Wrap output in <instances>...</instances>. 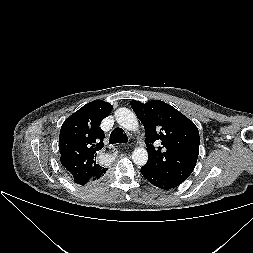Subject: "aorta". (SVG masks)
<instances>
[{
  "instance_id": "762f6f07",
  "label": "aorta",
  "mask_w": 253,
  "mask_h": 253,
  "mask_svg": "<svg viewBox=\"0 0 253 253\" xmlns=\"http://www.w3.org/2000/svg\"><path fill=\"white\" fill-rule=\"evenodd\" d=\"M115 119L117 123L124 129L129 131H137L139 123L136 115L128 108L122 107L115 111ZM132 160L138 166L147 163L148 153L145 148L138 147L132 153Z\"/></svg>"
}]
</instances>
